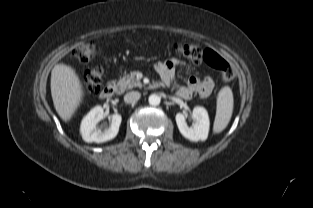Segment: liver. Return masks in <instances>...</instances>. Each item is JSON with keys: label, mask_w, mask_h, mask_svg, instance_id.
<instances>
[{"label": "liver", "mask_w": 313, "mask_h": 208, "mask_svg": "<svg viewBox=\"0 0 313 208\" xmlns=\"http://www.w3.org/2000/svg\"><path fill=\"white\" fill-rule=\"evenodd\" d=\"M83 86L75 70L65 64H57L51 72V96L60 118L69 121L83 99Z\"/></svg>", "instance_id": "6515ba94"}]
</instances>
